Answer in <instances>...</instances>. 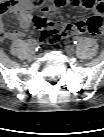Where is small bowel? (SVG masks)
I'll return each mask as SVG.
<instances>
[{"mask_svg": "<svg viewBox=\"0 0 104 137\" xmlns=\"http://www.w3.org/2000/svg\"><path fill=\"white\" fill-rule=\"evenodd\" d=\"M49 2V5L42 9L44 14L54 12L64 5H71L90 10L94 13V16L102 17L104 14V3L101 0H49ZM42 3L43 0H7L2 3L0 5V31L3 37L9 40H15L24 35V32L20 30H7L4 17L8 13L15 15L19 26L22 29H28L33 23L37 26L39 21H43L45 25L55 26L56 23L46 17H36L34 15L35 8L39 7ZM91 18L77 20L73 23H66L62 26L69 27L71 34L86 33L85 29L90 25ZM90 34L94 35L93 33Z\"/></svg>", "mask_w": 104, "mask_h": 137, "instance_id": "1", "label": "small bowel"}]
</instances>
